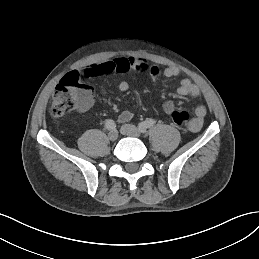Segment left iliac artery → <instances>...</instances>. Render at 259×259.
<instances>
[{
	"label": "left iliac artery",
	"mask_w": 259,
	"mask_h": 259,
	"mask_svg": "<svg viewBox=\"0 0 259 259\" xmlns=\"http://www.w3.org/2000/svg\"><path fill=\"white\" fill-rule=\"evenodd\" d=\"M155 123H156L155 120H153V119H147V120H145V121H143V122H141V123L139 124V129H140V131H141L142 133H145V132H146V129H147V128H150V127H152V126H154Z\"/></svg>",
	"instance_id": "obj_1"
}]
</instances>
